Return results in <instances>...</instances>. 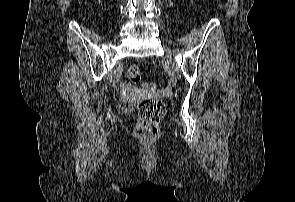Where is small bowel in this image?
<instances>
[{
  "label": "small bowel",
  "instance_id": "small-bowel-1",
  "mask_svg": "<svg viewBox=\"0 0 295 202\" xmlns=\"http://www.w3.org/2000/svg\"><path fill=\"white\" fill-rule=\"evenodd\" d=\"M122 98H126V103H143V98H154V93H149V89H142V85H131V81H119Z\"/></svg>",
  "mask_w": 295,
  "mask_h": 202
}]
</instances>
